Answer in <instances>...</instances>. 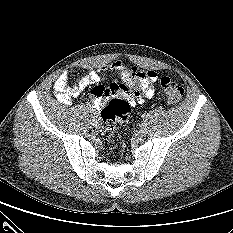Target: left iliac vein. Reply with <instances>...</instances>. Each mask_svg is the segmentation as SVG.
<instances>
[{
  "label": "left iliac vein",
  "instance_id": "obj_1",
  "mask_svg": "<svg viewBox=\"0 0 233 233\" xmlns=\"http://www.w3.org/2000/svg\"><path fill=\"white\" fill-rule=\"evenodd\" d=\"M139 135L140 136H146L148 134V126L147 124H142L139 128V131H138Z\"/></svg>",
  "mask_w": 233,
  "mask_h": 233
}]
</instances>
